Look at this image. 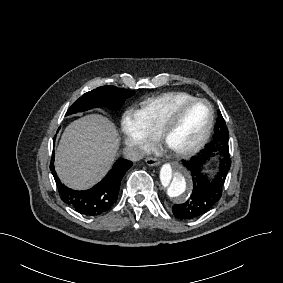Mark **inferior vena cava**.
I'll list each match as a JSON object with an SVG mask.
<instances>
[{
  "mask_svg": "<svg viewBox=\"0 0 283 283\" xmlns=\"http://www.w3.org/2000/svg\"><path fill=\"white\" fill-rule=\"evenodd\" d=\"M145 156V152L138 145H130L124 149V157L130 161L138 162Z\"/></svg>",
  "mask_w": 283,
  "mask_h": 283,
  "instance_id": "602c4592",
  "label": "inferior vena cava"
}]
</instances>
